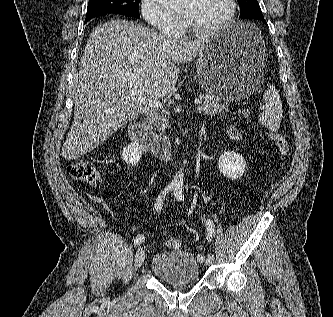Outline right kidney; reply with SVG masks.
I'll return each instance as SVG.
<instances>
[{"instance_id": "obj_1", "label": "right kidney", "mask_w": 333, "mask_h": 317, "mask_svg": "<svg viewBox=\"0 0 333 317\" xmlns=\"http://www.w3.org/2000/svg\"><path fill=\"white\" fill-rule=\"evenodd\" d=\"M142 156V148L141 146L133 142L125 147L122 151L121 157L122 159L129 165L135 166L139 163Z\"/></svg>"}]
</instances>
